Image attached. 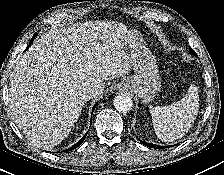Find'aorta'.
<instances>
[{
  "instance_id": "aorta-1",
  "label": "aorta",
  "mask_w": 224,
  "mask_h": 175,
  "mask_svg": "<svg viewBox=\"0 0 224 175\" xmlns=\"http://www.w3.org/2000/svg\"><path fill=\"white\" fill-rule=\"evenodd\" d=\"M114 107L119 112H127L132 109L133 102L131 97L126 94H119L114 98L113 102Z\"/></svg>"
}]
</instances>
